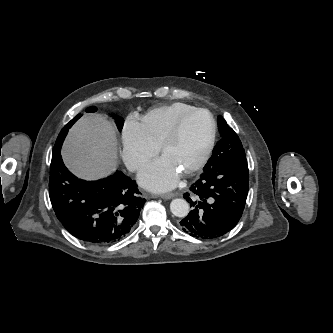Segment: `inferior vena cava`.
<instances>
[{"label":"inferior vena cava","mask_w":333,"mask_h":333,"mask_svg":"<svg viewBox=\"0 0 333 333\" xmlns=\"http://www.w3.org/2000/svg\"><path fill=\"white\" fill-rule=\"evenodd\" d=\"M138 168V166L137 165H135V164H131V165H129V167H128V169L130 170V171H135L136 169Z\"/></svg>","instance_id":"inferior-vena-cava-1"}]
</instances>
